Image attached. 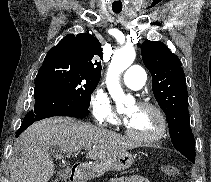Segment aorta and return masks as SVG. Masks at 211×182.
Listing matches in <instances>:
<instances>
[{"instance_id": "aorta-1", "label": "aorta", "mask_w": 211, "mask_h": 182, "mask_svg": "<svg viewBox=\"0 0 211 182\" xmlns=\"http://www.w3.org/2000/svg\"><path fill=\"white\" fill-rule=\"evenodd\" d=\"M135 56L136 54L133 48H121L114 53L108 67L106 84L117 108L122 106L126 100V95L120 85L119 77L133 63Z\"/></svg>"}]
</instances>
